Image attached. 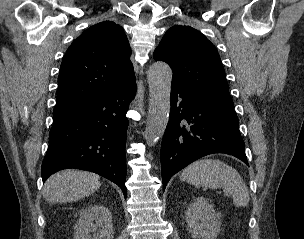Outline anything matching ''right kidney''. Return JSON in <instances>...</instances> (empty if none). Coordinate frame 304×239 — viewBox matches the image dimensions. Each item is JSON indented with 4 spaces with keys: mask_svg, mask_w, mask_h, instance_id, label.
I'll use <instances>...</instances> for the list:
<instances>
[{
    "mask_svg": "<svg viewBox=\"0 0 304 239\" xmlns=\"http://www.w3.org/2000/svg\"><path fill=\"white\" fill-rule=\"evenodd\" d=\"M111 213L103 205L88 207L74 226V239H113Z\"/></svg>",
    "mask_w": 304,
    "mask_h": 239,
    "instance_id": "ca27d5eb",
    "label": "right kidney"
}]
</instances>
